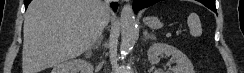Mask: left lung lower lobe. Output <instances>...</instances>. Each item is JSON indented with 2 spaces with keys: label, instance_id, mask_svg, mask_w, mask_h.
I'll list each match as a JSON object with an SVG mask.
<instances>
[{
  "label": "left lung lower lobe",
  "instance_id": "0a47b994",
  "mask_svg": "<svg viewBox=\"0 0 244 73\" xmlns=\"http://www.w3.org/2000/svg\"><path fill=\"white\" fill-rule=\"evenodd\" d=\"M159 1L160 0H134L133 1V10H134V12H137L138 10L149 7ZM198 1L203 3L209 9L216 12L215 0H198Z\"/></svg>",
  "mask_w": 244,
  "mask_h": 73
}]
</instances>
